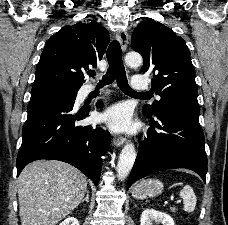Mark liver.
Segmentation results:
<instances>
[{
  "label": "liver",
  "instance_id": "obj_1",
  "mask_svg": "<svg viewBox=\"0 0 228 225\" xmlns=\"http://www.w3.org/2000/svg\"><path fill=\"white\" fill-rule=\"evenodd\" d=\"M21 225H57L82 201L87 181L60 161H35L18 177Z\"/></svg>",
  "mask_w": 228,
  "mask_h": 225
}]
</instances>
